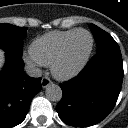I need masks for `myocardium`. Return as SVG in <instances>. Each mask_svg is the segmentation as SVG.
Listing matches in <instances>:
<instances>
[{"label":"myocardium","instance_id":"obj_1","mask_svg":"<svg viewBox=\"0 0 128 128\" xmlns=\"http://www.w3.org/2000/svg\"><path fill=\"white\" fill-rule=\"evenodd\" d=\"M81 32L86 33L90 38L89 49H88L86 55L83 57V59L81 60V62L77 66H75L73 69H71L69 71L63 72L60 70V66L65 59L68 46H69L71 40L73 39V37L76 34L81 33ZM93 47H94V38H93L91 32H89L86 29H82V28L76 29L65 40V42L63 43L60 51L58 52V54L55 58V60L53 61L52 65H51V72H52L53 76L60 81H67V80H70V79L74 78L75 76H77L87 65L89 58L92 54Z\"/></svg>","mask_w":128,"mask_h":128}]
</instances>
